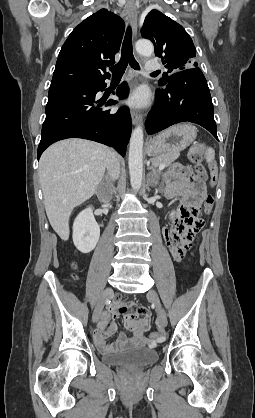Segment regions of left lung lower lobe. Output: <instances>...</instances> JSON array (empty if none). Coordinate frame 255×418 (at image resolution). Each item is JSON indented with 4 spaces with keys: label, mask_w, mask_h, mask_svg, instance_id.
I'll use <instances>...</instances> for the list:
<instances>
[{
    "label": "left lung lower lobe",
    "mask_w": 255,
    "mask_h": 418,
    "mask_svg": "<svg viewBox=\"0 0 255 418\" xmlns=\"http://www.w3.org/2000/svg\"><path fill=\"white\" fill-rule=\"evenodd\" d=\"M156 101L145 124L148 134L189 121L206 128L218 140L211 95L200 68L172 74L168 84L157 89Z\"/></svg>",
    "instance_id": "left-lung-lower-lobe-1"
}]
</instances>
